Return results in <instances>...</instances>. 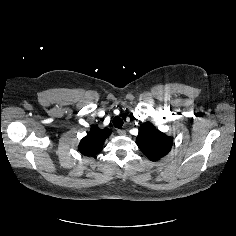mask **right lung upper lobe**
Instances as JSON below:
<instances>
[{
    "label": "right lung upper lobe",
    "mask_w": 236,
    "mask_h": 236,
    "mask_svg": "<svg viewBox=\"0 0 236 236\" xmlns=\"http://www.w3.org/2000/svg\"><path fill=\"white\" fill-rule=\"evenodd\" d=\"M111 134L108 128L100 129L92 126L90 132L79 144V151L85 156H93L102 150L106 138Z\"/></svg>",
    "instance_id": "1"
}]
</instances>
